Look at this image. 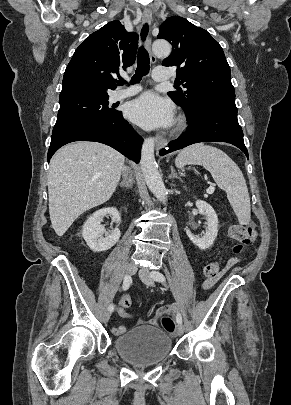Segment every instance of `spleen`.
<instances>
[{"label": "spleen", "mask_w": 291, "mask_h": 405, "mask_svg": "<svg viewBox=\"0 0 291 405\" xmlns=\"http://www.w3.org/2000/svg\"><path fill=\"white\" fill-rule=\"evenodd\" d=\"M187 164L202 165L210 171L216 184L226 192L239 222L247 224L250 221V198L244 176L225 152L202 143L195 144L183 149L175 159L179 168Z\"/></svg>", "instance_id": "spleen-1"}]
</instances>
